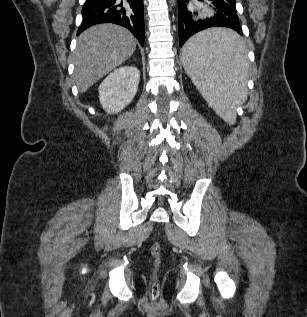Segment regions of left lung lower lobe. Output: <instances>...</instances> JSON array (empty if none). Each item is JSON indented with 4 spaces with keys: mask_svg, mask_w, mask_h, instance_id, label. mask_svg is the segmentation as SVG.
<instances>
[{
    "mask_svg": "<svg viewBox=\"0 0 307 317\" xmlns=\"http://www.w3.org/2000/svg\"><path fill=\"white\" fill-rule=\"evenodd\" d=\"M190 1L178 0L180 47L193 34L214 26L228 27L243 35L236 11V0H209L214 6L215 15L204 19L198 17V12L192 11ZM198 1L204 2L203 0ZM221 53L225 59L234 58L241 53V44L237 41L226 43L221 47Z\"/></svg>",
    "mask_w": 307,
    "mask_h": 317,
    "instance_id": "1",
    "label": "left lung lower lobe"
}]
</instances>
